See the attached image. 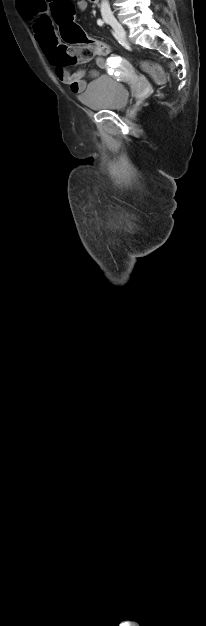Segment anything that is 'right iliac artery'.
Masks as SVG:
<instances>
[{
	"instance_id": "right-iliac-artery-1",
	"label": "right iliac artery",
	"mask_w": 206,
	"mask_h": 626,
	"mask_svg": "<svg viewBox=\"0 0 206 626\" xmlns=\"http://www.w3.org/2000/svg\"><path fill=\"white\" fill-rule=\"evenodd\" d=\"M97 24H98L99 26H103V25H104V22H103L101 19H98V20H97Z\"/></svg>"
}]
</instances>
